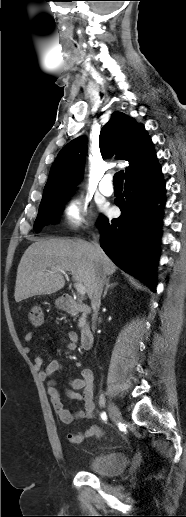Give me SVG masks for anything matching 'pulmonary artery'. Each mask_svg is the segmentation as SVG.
Returning a JSON list of instances; mask_svg holds the SVG:
<instances>
[{"label": "pulmonary artery", "instance_id": "e3ab8cb5", "mask_svg": "<svg viewBox=\"0 0 186 517\" xmlns=\"http://www.w3.org/2000/svg\"><path fill=\"white\" fill-rule=\"evenodd\" d=\"M99 190L100 192L105 196H111L114 192L113 186H112V177L110 174L105 175L99 184Z\"/></svg>", "mask_w": 186, "mask_h": 517}]
</instances>
